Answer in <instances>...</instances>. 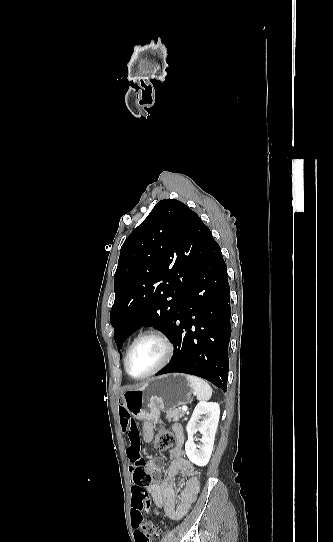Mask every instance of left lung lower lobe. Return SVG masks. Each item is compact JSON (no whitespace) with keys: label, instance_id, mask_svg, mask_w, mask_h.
<instances>
[{"label":"left lung lower lobe","instance_id":"obj_1","mask_svg":"<svg viewBox=\"0 0 333 542\" xmlns=\"http://www.w3.org/2000/svg\"><path fill=\"white\" fill-rule=\"evenodd\" d=\"M170 336L174 342L172 359L156 375L191 374L225 392L231 336L230 287L227 266L215 240L184 295L182 312Z\"/></svg>","mask_w":333,"mask_h":542}]
</instances>
